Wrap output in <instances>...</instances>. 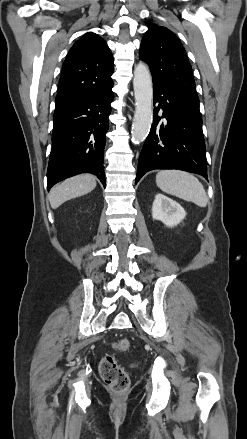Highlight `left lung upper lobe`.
Listing matches in <instances>:
<instances>
[{"label":"left lung upper lobe","instance_id":"5c2ea615","mask_svg":"<svg viewBox=\"0 0 247 439\" xmlns=\"http://www.w3.org/2000/svg\"><path fill=\"white\" fill-rule=\"evenodd\" d=\"M139 54V58L150 67L153 83L199 104L191 65L182 43L172 31L156 24L149 25Z\"/></svg>","mask_w":247,"mask_h":439}]
</instances>
